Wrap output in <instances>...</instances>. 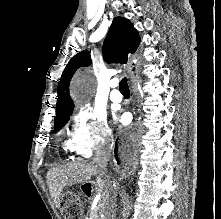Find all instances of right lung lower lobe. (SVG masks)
I'll return each mask as SVG.
<instances>
[{"label":"right lung lower lobe","instance_id":"right-lung-lower-lobe-1","mask_svg":"<svg viewBox=\"0 0 221 219\" xmlns=\"http://www.w3.org/2000/svg\"><path fill=\"white\" fill-rule=\"evenodd\" d=\"M122 147L119 145V144H115V150H114V153H115V157L117 156V152L119 151V152H121L122 151ZM117 160V163L119 164V160L118 159H116Z\"/></svg>","mask_w":221,"mask_h":219}]
</instances>
